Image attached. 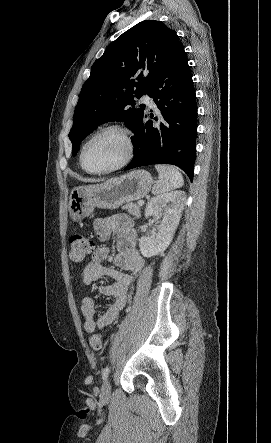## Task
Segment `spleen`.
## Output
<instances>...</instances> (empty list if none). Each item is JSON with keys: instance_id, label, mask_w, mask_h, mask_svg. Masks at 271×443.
<instances>
[{"instance_id": "obj_1", "label": "spleen", "mask_w": 271, "mask_h": 443, "mask_svg": "<svg viewBox=\"0 0 271 443\" xmlns=\"http://www.w3.org/2000/svg\"><path fill=\"white\" fill-rule=\"evenodd\" d=\"M155 168L158 172L159 180L152 188L154 196H161L165 192H171V190L184 186L183 176L178 168H174V166H155Z\"/></svg>"}]
</instances>
